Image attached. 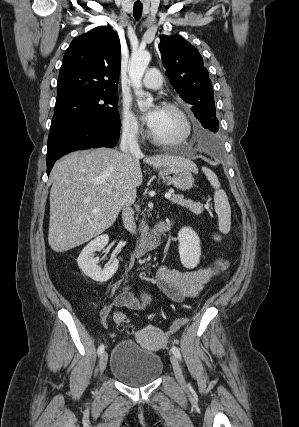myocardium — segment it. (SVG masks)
Instances as JSON below:
<instances>
[{
  "mask_svg": "<svg viewBox=\"0 0 299 427\" xmlns=\"http://www.w3.org/2000/svg\"><path fill=\"white\" fill-rule=\"evenodd\" d=\"M161 107L165 108V109L172 110L173 112H175L179 116V118L181 119L182 124H183V133L176 138L164 139V138H160V137L156 136L152 132V130H150L151 140L155 144L161 145V146H175V145H180V144L186 142L192 133V124H191L190 118H189L188 114L186 113V111L179 104L172 102V101L163 102L161 104Z\"/></svg>",
  "mask_w": 299,
  "mask_h": 427,
  "instance_id": "1",
  "label": "myocardium"
}]
</instances>
